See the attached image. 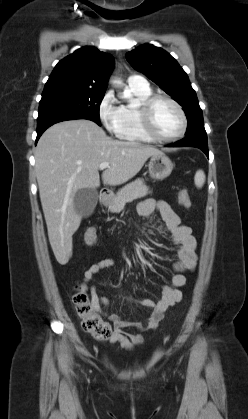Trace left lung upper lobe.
Listing matches in <instances>:
<instances>
[{
  "instance_id": "left-lung-upper-lobe-1",
  "label": "left lung upper lobe",
  "mask_w": 248,
  "mask_h": 419,
  "mask_svg": "<svg viewBox=\"0 0 248 419\" xmlns=\"http://www.w3.org/2000/svg\"><path fill=\"white\" fill-rule=\"evenodd\" d=\"M125 56L135 70L145 74L183 107L188 121L185 136L205 131L196 92L186 72L169 53L151 44H144Z\"/></svg>"
}]
</instances>
